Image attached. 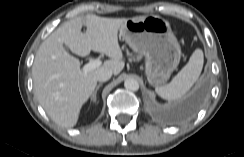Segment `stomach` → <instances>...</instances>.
<instances>
[{
	"instance_id": "1",
	"label": "stomach",
	"mask_w": 244,
	"mask_h": 157,
	"mask_svg": "<svg viewBox=\"0 0 244 157\" xmlns=\"http://www.w3.org/2000/svg\"><path fill=\"white\" fill-rule=\"evenodd\" d=\"M120 36L145 57L148 82L155 87L165 84L181 59V47L169 22L157 15L136 16L126 20Z\"/></svg>"
}]
</instances>
